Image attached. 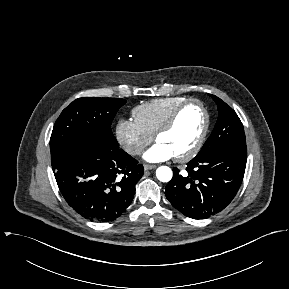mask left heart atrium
Masks as SVG:
<instances>
[{
    "label": "left heart atrium",
    "mask_w": 289,
    "mask_h": 289,
    "mask_svg": "<svg viewBox=\"0 0 289 289\" xmlns=\"http://www.w3.org/2000/svg\"><path fill=\"white\" fill-rule=\"evenodd\" d=\"M175 157L172 151L162 143H156L149 148L144 154V160L152 163L167 161Z\"/></svg>",
    "instance_id": "39dd6f15"
}]
</instances>
